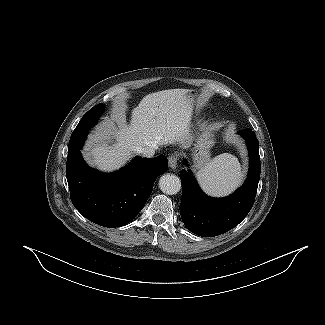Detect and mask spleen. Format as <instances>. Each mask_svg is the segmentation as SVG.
I'll return each mask as SVG.
<instances>
[{
  "mask_svg": "<svg viewBox=\"0 0 325 325\" xmlns=\"http://www.w3.org/2000/svg\"><path fill=\"white\" fill-rule=\"evenodd\" d=\"M197 179L208 195L225 196L241 183V165L235 156L228 153L220 154L198 171Z\"/></svg>",
  "mask_w": 325,
  "mask_h": 325,
  "instance_id": "1",
  "label": "spleen"
}]
</instances>
